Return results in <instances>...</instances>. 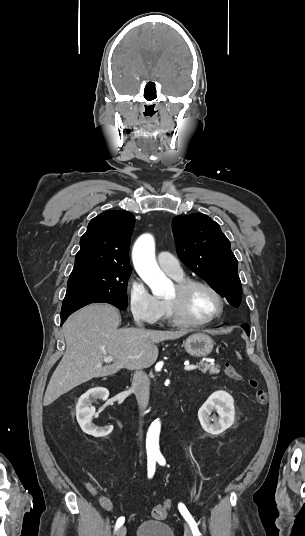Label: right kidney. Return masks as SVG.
<instances>
[{
  "label": "right kidney",
  "instance_id": "right-kidney-1",
  "mask_svg": "<svg viewBox=\"0 0 305 536\" xmlns=\"http://www.w3.org/2000/svg\"><path fill=\"white\" fill-rule=\"evenodd\" d=\"M91 392V396L93 398H101V400H107L109 396L108 390H105V388H92V390H88L87 394H83L81 396L78 404H77V420L78 424L85 432V434H89V436H95V438H100V436H107V434H110L109 430H102V428H97V426H94L92 424V416H94L95 408L91 406L89 400V394Z\"/></svg>",
  "mask_w": 305,
  "mask_h": 536
}]
</instances>
